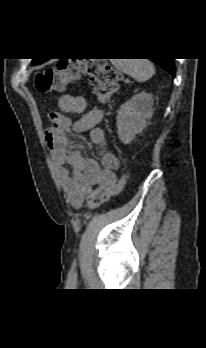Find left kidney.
<instances>
[{
    "mask_svg": "<svg viewBox=\"0 0 206 348\" xmlns=\"http://www.w3.org/2000/svg\"><path fill=\"white\" fill-rule=\"evenodd\" d=\"M153 95L141 92L121 105L117 115V133L124 144H129L147 126L146 119L153 108Z\"/></svg>",
    "mask_w": 206,
    "mask_h": 348,
    "instance_id": "5707ae66",
    "label": "left kidney"
}]
</instances>
